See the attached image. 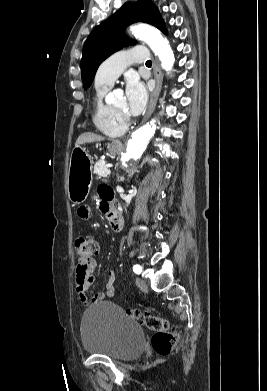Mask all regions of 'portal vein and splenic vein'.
I'll list each match as a JSON object with an SVG mask.
<instances>
[{
	"label": "portal vein and splenic vein",
	"instance_id": "18ae733b",
	"mask_svg": "<svg viewBox=\"0 0 267 391\" xmlns=\"http://www.w3.org/2000/svg\"><path fill=\"white\" fill-rule=\"evenodd\" d=\"M106 167H107V168H111L112 165H111V164H107Z\"/></svg>",
	"mask_w": 267,
	"mask_h": 391
}]
</instances>
